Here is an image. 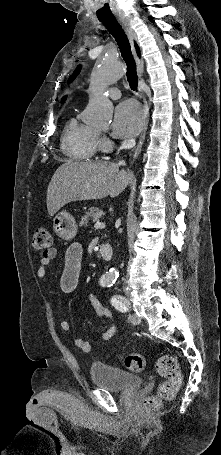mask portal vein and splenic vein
<instances>
[{
    "mask_svg": "<svg viewBox=\"0 0 221 455\" xmlns=\"http://www.w3.org/2000/svg\"><path fill=\"white\" fill-rule=\"evenodd\" d=\"M95 228H103L105 227V224L103 222L97 221L94 225Z\"/></svg>",
    "mask_w": 221,
    "mask_h": 455,
    "instance_id": "obj_1",
    "label": "portal vein and splenic vein"
}]
</instances>
